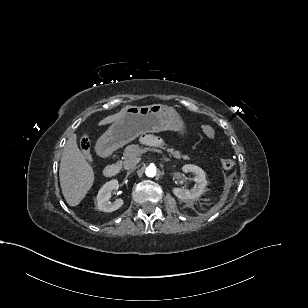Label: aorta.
Masks as SVG:
<instances>
[{
	"label": "aorta",
	"mask_w": 308,
	"mask_h": 308,
	"mask_svg": "<svg viewBox=\"0 0 308 308\" xmlns=\"http://www.w3.org/2000/svg\"><path fill=\"white\" fill-rule=\"evenodd\" d=\"M145 174H146L148 177H154V176L156 175V166H155V165H149V166L146 168Z\"/></svg>",
	"instance_id": "aorta-1"
}]
</instances>
